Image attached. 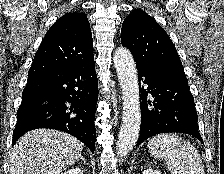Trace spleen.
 Here are the masks:
<instances>
[{
  "mask_svg": "<svg viewBox=\"0 0 224 174\" xmlns=\"http://www.w3.org/2000/svg\"><path fill=\"white\" fill-rule=\"evenodd\" d=\"M148 148L152 155L164 160L171 174H205L198 151L176 134H159L151 138Z\"/></svg>",
  "mask_w": 224,
  "mask_h": 174,
  "instance_id": "spleen-1",
  "label": "spleen"
}]
</instances>
